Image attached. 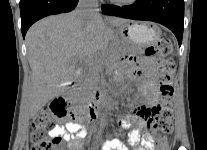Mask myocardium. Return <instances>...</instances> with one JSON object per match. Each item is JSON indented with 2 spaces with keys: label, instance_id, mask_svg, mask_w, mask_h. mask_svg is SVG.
I'll list each match as a JSON object with an SVG mask.
<instances>
[{
  "label": "myocardium",
  "instance_id": "obj_1",
  "mask_svg": "<svg viewBox=\"0 0 207 150\" xmlns=\"http://www.w3.org/2000/svg\"><path fill=\"white\" fill-rule=\"evenodd\" d=\"M110 1L119 6H130L137 3L139 0H110Z\"/></svg>",
  "mask_w": 207,
  "mask_h": 150
}]
</instances>
